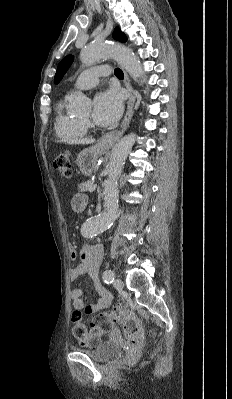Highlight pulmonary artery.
I'll return each mask as SVG.
<instances>
[{"label": "pulmonary artery", "instance_id": "obj_1", "mask_svg": "<svg viewBox=\"0 0 232 399\" xmlns=\"http://www.w3.org/2000/svg\"><path fill=\"white\" fill-rule=\"evenodd\" d=\"M103 68H107V65H103ZM109 74V69H82L81 73L74 77V84L86 87L87 90H95V84H102V80Z\"/></svg>", "mask_w": 232, "mask_h": 399}]
</instances>
